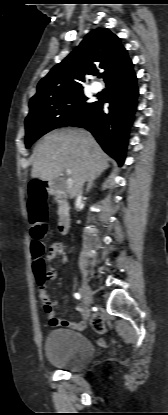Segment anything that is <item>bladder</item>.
Here are the masks:
<instances>
[{"label":"bladder","mask_w":168,"mask_h":415,"mask_svg":"<svg viewBox=\"0 0 168 415\" xmlns=\"http://www.w3.org/2000/svg\"><path fill=\"white\" fill-rule=\"evenodd\" d=\"M48 362L62 370L77 372L86 368L94 358V348L81 333L69 329H54L45 340Z\"/></svg>","instance_id":"obj_1"}]
</instances>
